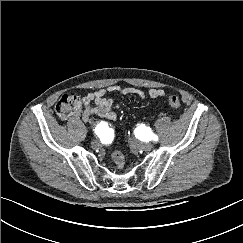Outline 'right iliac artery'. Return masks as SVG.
Segmentation results:
<instances>
[{
    "label": "right iliac artery",
    "mask_w": 243,
    "mask_h": 243,
    "mask_svg": "<svg viewBox=\"0 0 243 243\" xmlns=\"http://www.w3.org/2000/svg\"><path fill=\"white\" fill-rule=\"evenodd\" d=\"M106 128V126L104 125H101V126H98L96 129H95V133L98 135V136H102L103 133H104V129Z\"/></svg>",
    "instance_id": "1"
}]
</instances>
